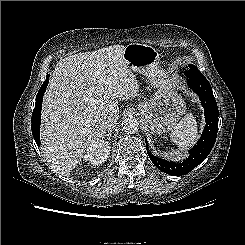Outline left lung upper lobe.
<instances>
[{"instance_id":"5c2ea615","label":"left lung upper lobe","mask_w":245,"mask_h":245,"mask_svg":"<svg viewBox=\"0 0 245 245\" xmlns=\"http://www.w3.org/2000/svg\"><path fill=\"white\" fill-rule=\"evenodd\" d=\"M188 66H194V65H192V64H189Z\"/></svg>"}]
</instances>
